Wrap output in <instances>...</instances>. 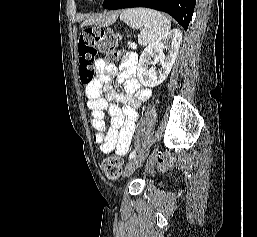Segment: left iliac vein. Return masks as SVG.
I'll return each instance as SVG.
<instances>
[{"instance_id": "4c4485c4", "label": "left iliac vein", "mask_w": 257, "mask_h": 237, "mask_svg": "<svg viewBox=\"0 0 257 237\" xmlns=\"http://www.w3.org/2000/svg\"><path fill=\"white\" fill-rule=\"evenodd\" d=\"M145 152H140L137 154L132 160L129 161V163L125 167L124 174L126 177L130 176L134 170L142 163V161L145 158Z\"/></svg>"}]
</instances>
